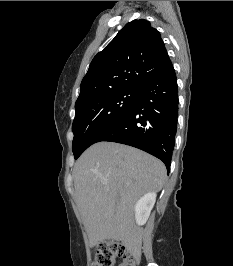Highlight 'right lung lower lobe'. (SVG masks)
<instances>
[{
	"label": "right lung lower lobe",
	"mask_w": 233,
	"mask_h": 266,
	"mask_svg": "<svg viewBox=\"0 0 233 266\" xmlns=\"http://www.w3.org/2000/svg\"><path fill=\"white\" fill-rule=\"evenodd\" d=\"M178 87L171 65L145 84L130 109L97 140L139 148L162 160L169 173L174 148Z\"/></svg>",
	"instance_id": "1"
}]
</instances>
